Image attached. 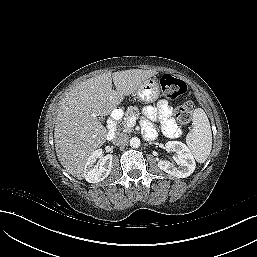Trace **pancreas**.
<instances>
[{"label": "pancreas", "mask_w": 257, "mask_h": 257, "mask_svg": "<svg viewBox=\"0 0 257 257\" xmlns=\"http://www.w3.org/2000/svg\"><path fill=\"white\" fill-rule=\"evenodd\" d=\"M139 113V109L136 106H130L127 108L125 114H124V120L122 122L123 125V132L124 133H131L133 131V128L131 126H129L128 120L129 118H131L132 116H138Z\"/></svg>", "instance_id": "obj_1"}]
</instances>
